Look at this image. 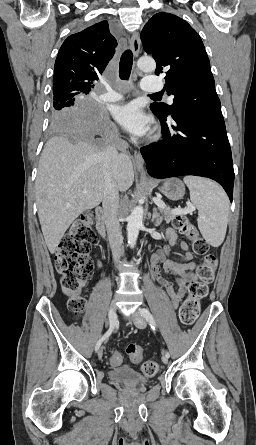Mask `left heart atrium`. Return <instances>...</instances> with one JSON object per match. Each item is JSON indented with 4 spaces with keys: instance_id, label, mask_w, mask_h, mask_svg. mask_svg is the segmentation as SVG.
Here are the masks:
<instances>
[{
    "instance_id": "1",
    "label": "left heart atrium",
    "mask_w": 256,
    "mask_h": 445,
    "mask_svg": "<svg viewBox=\"0 0 256 445\" xmlns=\"http://www.w3.org/2000/svg\"><path fill=\"white\" fill-rule=\"evenodd\" d=\"M113 117L123 129L133 135L143 136L149 131L150 119L136 103L115 107Z\"/></svg>"
}]
</instances>
